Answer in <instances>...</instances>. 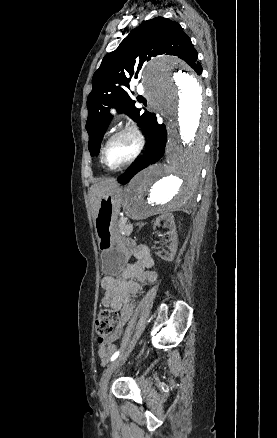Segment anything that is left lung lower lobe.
I'll use <instances>...</instances> for the list:
<instances>
[{
    "instance_id": "obj_1",
    "label": "left lung lower lobe",
    "mask_w": 277,
    "mask_h": 438,
    "mask_svg": "<svg viewBox=\"0 0 277 438\" xmlns=\"http://www.w3.org/2000/svg\"><path fill=\"white\" fill-rule=\"evenodd\" d=\"M150 120L151 123L147 132L149 137L144 155L118 177V182L122 184L128 183L135 174L158 162L164 155L167 140L166 127L164 124L159 125L157 123L155 115H152Z\"/></svg>"
}]
</instances>
